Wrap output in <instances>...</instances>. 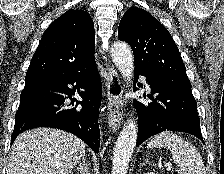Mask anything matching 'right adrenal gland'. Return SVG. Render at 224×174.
Returning a JSON list of instances; mask_svg holds the SVG:
<instances>
[{
    "mask_svg": "<svg viewBox=\"0 0 224 174\" xmlns=\"http://www.w3.org/2000/svg\"><path fill=\"white\" fill-rule=\"evenodd\" d=\"M77 169L80 171V174H91L88 161L83 157L82 162L77 166Z\"/></svg>",
    "mask_w": 224,
    "mask_h": 174,
    "instance_id": "2a0ac1e0",
    "label": "right adrenal gland"
}]
</instances>
